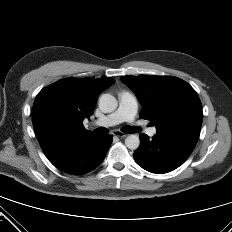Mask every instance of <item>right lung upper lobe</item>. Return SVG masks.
<instances>
[{
	"label": "right lung upper lobe",
	"instance_id": "1",
	"mask_svg": "<svg viewBox=\"0 0 232 232\" xmlns=\"http://www.w3.org/2000/svg\"><path fill=\"white\" fill-rule=\"evenodd\" d=\"M114 82L112 78H67L42 89L32 118L43 152L94 135L84 128L83 120L92 115L100 92Z\"/></svg>",
	"mask_w": 232,
	"mask_h": 232
}]
</instances>
